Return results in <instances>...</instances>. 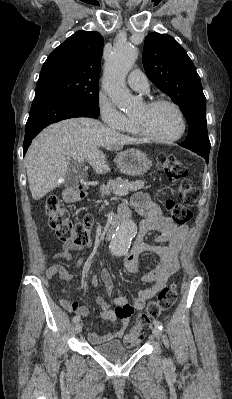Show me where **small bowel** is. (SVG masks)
<instances>
[{
    "mask_svg": "<svg viewBox=\"0 0 232 399\" xmlns=\"http://www.w3.org/2000/svg\"><path fill=\"white\" fill-rule=\"evenodd\" d=\"M133 206L142 212L145 220L142 223L139 231V238L134 245L125 254V268L129 272H137L139 266L137 257L142 250H151L157 253L161 261L156 267L143 277L145 282H153L151 288L142 290L137 298L130 302L126 297L117 296L113 300L114 307L112 308L103 297H98L97 303L101 309L100 317L103 320L120 321V325L106 337L101 336L95 332L89 331L88 327L81 325V329L88 331V338L92 345L98 346L108 342L110 345L119 344V336L123 334L129 325V319L134 309L144 308L146 301L159 292L167 282L172 278L176 272L179 261L180 253L183 250L187 228L186 226L174 225L170 220H163L160 217V203L153 198H150L145 193H135L132 197ZM152 230H158L160 234L151 242L145 241L144 236ZM169 242L168 247H164L163 243ZM92 242H73L66 241L63 244L61 251L51 253L52 263L49 266H44L45 276L48 280L58 276L62 281H69L74 278L73 272H68L63 263L72 260V252L76 250L91 248ZM94 254L90 259L96 258ZM101 279L104 283H109L111 276L107 271L101 273ZM92 284L99 285V280L96 276L92 277ZM67 289H64L65 293ZM109 294H114L113 289L108 290ZM61 304L65 309L71 312L79 313L87 318L91 317V312L88 307L71 300L70 298L61 299Z\"/></svg>",
    "mask_w": 232,
    "mask_h": 399,
    "instance_id": "c3829d8e",
    "label": "small bowel"
}]
</instances>
